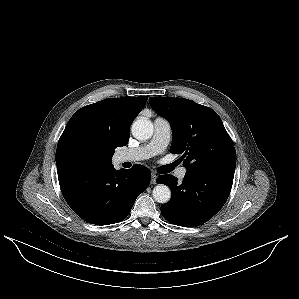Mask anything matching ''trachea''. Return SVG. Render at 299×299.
Instances as JSON below:
<instances>
[{"instance_id": "3493384b", "label": "trachea", "mask_w": 299, "mask_h": 299, "mask_svg": "<svg viewBox=\"0 0 299 299\" xmlns=\"http://www.w3.org/2000/svg\"><path fill=\"white\" fill-rule=\"evenodd\" d=\"M176 165L174 163L170 164V165H166V166H163V167H160L158 169V172L159 173H168L170 172Z\"/></svg>"}]
</instances>
